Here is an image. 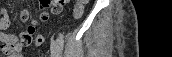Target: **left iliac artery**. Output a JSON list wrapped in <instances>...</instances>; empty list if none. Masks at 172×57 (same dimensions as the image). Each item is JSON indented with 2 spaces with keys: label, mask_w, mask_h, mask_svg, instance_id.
I'll return each instance as SVG.
<instances>
[{
  "label": "left iliac artery",
  "mask_w": 172,
  "mask_h": 57,
  "mask_svg": "<svg viewBox=\"0 0 172 57\" xmlns=\"http://www.w3.org/2000/svg\"><path fill=\"white\" fill-rule=\"evenodd\" d=\"M58 43H59V46H60V49L62 50L63 48V44H64V39H63V35L62 34H59L58 36Z\"/></svg>",
  "instance_id": "44dca946"
}]
</instances>
